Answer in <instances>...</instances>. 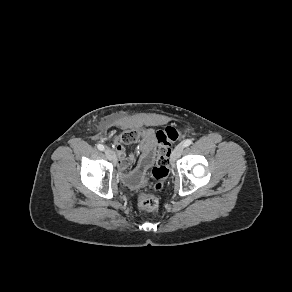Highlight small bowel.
Listing matches in <instances>:
<instances>
[{
    "label": "small bowel",
    "mask_w": 292,
    "mask_h": 292,
    "mask_svg": "<svg viewBox=\"0 0 292 292\" xmlns=\"http://www.w3.org/2000/svg\"><path fill=\"white\" fill-rule=\"evenodd\" d=\"M158 142L154 130H147L135 149V154L128 152L124 144L116 143V157L123 171L130 168L138 157L137 165L133 174L144 175L154 164L157 153Z\"/></svg>",
    "instance_id": "obj_1"
}]
</instances>
